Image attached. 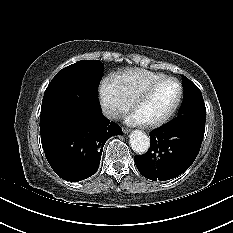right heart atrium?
Masks as SVG:
<instances>
[{
	"label": "right heart atrium",
	"mask_w": 233,
	"mask_h": 233,
	"mask_svg": "<svg viewBox=\"0 0 233 233\" xmlns=\"http://www.w3.org/2000/svg\"><path fill=\"white\" fill-rule=\"evenodd\" d=\"M99 97L103 112L110 119L120 117L130 108V99L112 77L102 79L99 86Z\"/></svg>",
	"instance_id": "1"
}]
</instances>
